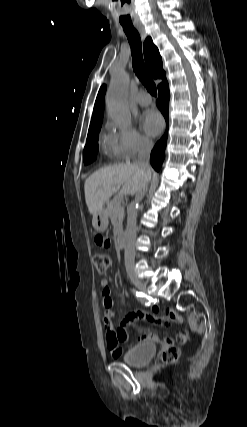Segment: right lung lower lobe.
<instances>
[{"label":"right lung lower lobe","mask_w":247,"mask_h":427,"mask_svg":"<svg viewBox=\"0 0 247 427\" xmlns=\"http://www.w3.org/2000/svg\"><path fill=\"white\" fill-rule=\"evenodd\" d=\"M158 90H159V98L156 103L165 117L167 130L165 131V134L163 135V137L156 143L154 149L151 152L150 162L152 167L156 171L160 170V167L165 157V147H166L168 126H169L168 112H169L170 93H169L168 83L166 80H164L161 84L158 85Z\"/></svg>","instance_id":"1"}]
</instances>
